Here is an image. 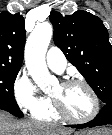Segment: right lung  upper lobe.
Listing matches in <instances>:
<instances>
[{
    "label": "right lung upper lobe",
    "mask_w": 112,
    "mask_h": 135,
    "mask_svg": "<svg viewBox=\"0 0 112 135\" xmlns=\"http://www.w3.org/2000/svg\"><path fill=\"white\" fill-rule=\"evenodd\" d=\"M24 19L20 14L0 13V66L21 67L25 45Z\"/></svg>",
    "instance_id": "cb5924a9"
}]
</instances>
